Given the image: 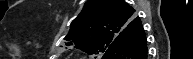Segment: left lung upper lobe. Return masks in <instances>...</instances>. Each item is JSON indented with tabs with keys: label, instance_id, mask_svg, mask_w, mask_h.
I'll return each mask as SVG.
<instances>
[{
	"label": "left lung upper lobe",
	"instance_id": "obj_1",
	"mask_svg": "<svg viewBox=\"0 0 193 59\" xmlns=\"http://www.w3.org/2000/svg\"><path fill=\"white\" fill-rule=\"evenodd\" d=\"M135 19V10L123 0H89L65 40L90 55L104 54Z\"/></svg>",
	"mask_w": 193,
	"mask_h": 59
}]
</instances>
